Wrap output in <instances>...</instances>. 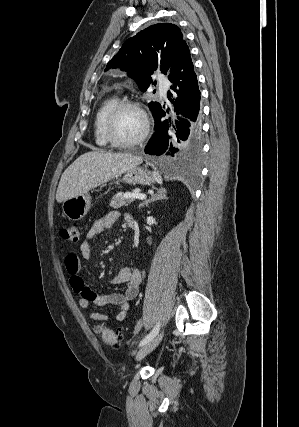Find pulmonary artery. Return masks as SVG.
Returning <instances> with one entry per match:
<instances>
[{"instance_id":"1","label":"pulmonary artery","mask_w":299,"mask_h":427,"mask_svg":"<svg viewBox=\"0 0 299 427\" xmlns=\"http://www.w3.org/2000/svg\"><path fill=\"white\" fill-rule=\"evenodd\" d=\"M159 86H160L161 96H163V97L166 96V93H167L168 88H169V82L166 79L161 78L159 81Z\"/></svg>"}]
</instances>
